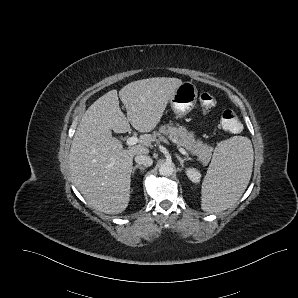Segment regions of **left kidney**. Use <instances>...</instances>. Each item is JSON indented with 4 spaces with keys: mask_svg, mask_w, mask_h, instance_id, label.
Segmentation results:
<instances>
[{
    "mask_svg": "<svg viewBox=\"0 0 298 298\" xmlns=\"http://www.w3.org/2000/svg\"><path fill=\"white\" fill-rule=\"evenodd\" d=\"M185 174L188 177V179L193 183H199L202 176L199 170L191 167L185 169Z\"/></svg>",
    "mask_w": 298,
    "mask_h": 298,
    "instance_id": "obj_1",
    "label": "left kidney"
}]
</instances>
